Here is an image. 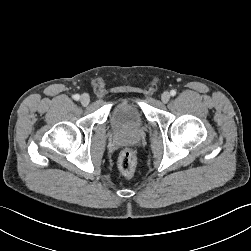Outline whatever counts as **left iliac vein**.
<instances>
[{
  "instance_id": "left-iliac-vein-1",
  "label": "left iliac vein",
  "mask_w": 251,
  "mask_h": 251,
  "mask_svg": "<svg viewBox=\"0 0 251 251\" xmlns=\"http://www.w3.org/2000/svg\"><path fill=\"white\" fill-rule=\"evenodd\" d=\"M161 100L163 103H167L170 100V93L165 91L161 95Z\"/></svg>"
}]
</instances>
